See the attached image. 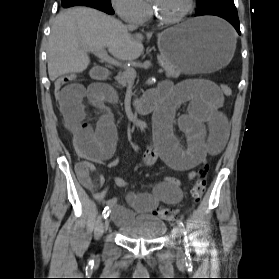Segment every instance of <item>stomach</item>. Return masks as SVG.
Here are the masks:
<instances>
[{"instance_id":"stomach-1","label":"stomach","mask_w":279,"mask_h":279,"mask_svg":"<svg viewBox=\"0 0 279 279\" xmlns=\"http://www.w3.org/2000/svg\"><path fill=\"white\" fill-rule=\"evenodd\" d=\"M235 46L231 28L211 17L190 19L158 35L161 55L189 75L226 69Z\"/></svg>"}]
</instances>
